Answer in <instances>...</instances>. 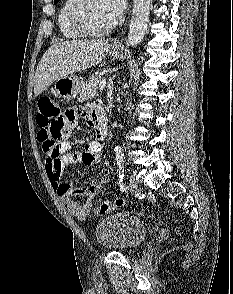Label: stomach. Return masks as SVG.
Instances as JSON below:
<instances>
[{
  "mask_svg": "<svg viewBox=\"0 0 233 294\" xmlns=\"http://www.w3.org/2000/svg\"><path fill=\"white\" fill-rule=\"evenodd\" d=\"M111 54L114 58H123L122 49H112ZM55 93L63 99L75 98L81 89L79 78L74 74H69L59 78L54 82Z\"/></svg>",
  "mask_w": 233,
  "mask_h": 294,
  "instance_id": "stomach-1",
  "label": "stomach"
}]
</instances>
